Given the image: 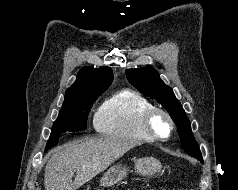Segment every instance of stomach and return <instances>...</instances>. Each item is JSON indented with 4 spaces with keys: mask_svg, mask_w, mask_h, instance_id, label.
I'll return each mask as SVG.
<instances>
[{
    "mask_svg": "<svg viewBox=\"0 0 238 190\" xmlns=\"http://www.w3.org/2000/svg\"><path fill=\"white\" fill-rule=\"evenodd\" d=\"M135 169L143 176H153L161 171L162 165L156 158L144 157L135 162ZM127 172L128 168L126 166L121 164L113 165L103 174L100 185L113 187L126 177Z\"/></svg>",
    "mask_w": 238,
    "mask_h": 190,
    "instance_id": "obj_1",
    "label": "stomach"
}]
</instances>
